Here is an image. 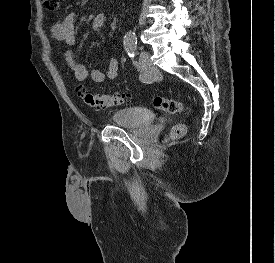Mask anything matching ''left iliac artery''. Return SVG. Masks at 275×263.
Listing matches in <instances>:
<instances>
[{
  "instance_id": "left-iliac-artery-1",
  "label": "left iliac artery",
  "mask_w": 275,
  "mask_h": 263,
  "mask_svg": "<svg viewBox=\"0 0 275 263\" xmlns=\"http://www.w3.org/2000/svg\"><path fill=\"white\" fill-rule=\"evenodd\" d=\"M124 47L129 57L134 58L137 50V37L135 32L130 30L124 36Z\"/></svg>"
}]
</instances>
